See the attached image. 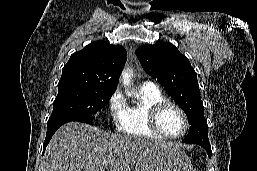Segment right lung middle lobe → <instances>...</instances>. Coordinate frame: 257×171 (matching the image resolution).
<instances>
[{
  "instance_id": "right-lung-middle-lobe-1",
  "label": "right lung middle lobe",
  "mask_w": 257,
  "mask_h": 171,
  "mask_svg": "<svg viewBox=\"0 0 257 171\" xmlns=\"http://www.w3.org/2000/svg\"><path fill=\"white\" fill-rule=\"evenodd\" d=\"M114 92L115 89L87 85L58 87L48 122L65 118L92 121L93 114L106 105Z\"/></svg>"
}]
</instances>
